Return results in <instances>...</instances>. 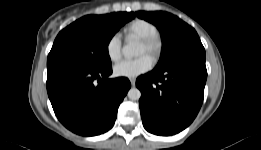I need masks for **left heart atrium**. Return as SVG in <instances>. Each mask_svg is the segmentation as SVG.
Returning a JSON list of instances; mask_svg holds the SVG:
<instances>
[{"instance_id": "obj_1", "label": "left heart atrium", "mask_w": 261, "mask_h": 150, "mask_svg": "<svg viewBox=\"0 0 261 150\" xmlns=\"http://www.w3.org/2000/svg\"><path fill=\"white\" fill-rule=\"evenodd\" d=\"M152 64V59L148 55H142L136 59L124 60L116 64L114 73L120 77L136 78L149 71Z\"/></svg>"}]
</instances>
